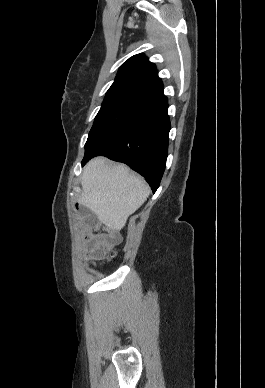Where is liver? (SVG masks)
Listing matches in <instances>:
<instances>
[{
    "label": "liver",
    "mask_w": 265,
    "mask_h": 388,
    "mask_svg": "<svg viewBox=\"0 0 265 388\" xmlns=\"http://www.w3.org/2000/svg\"><path fill=\"white\" fill-rule=\"evenodd\" d=\"M78 202L98 216L107 230L120 232L151 190L141 176L123 164H110L106 158H94L86 164Z\"/></svg>",
    "instance_id": "6515ba94"
}]
</instances>
